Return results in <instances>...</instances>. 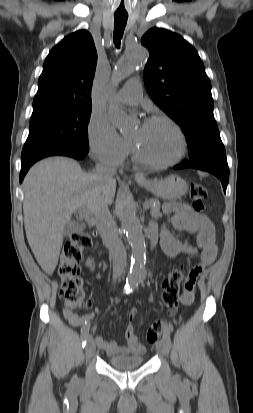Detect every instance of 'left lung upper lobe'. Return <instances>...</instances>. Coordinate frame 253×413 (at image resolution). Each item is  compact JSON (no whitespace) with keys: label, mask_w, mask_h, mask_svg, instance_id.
Listing matches in <instances>:
<instances>
[{"label":"left lung upper lobe","mask_w":253,"mask_h":413,"mask_svg":"<svg viewBox=\"0 0 253 413\" xmlns=\"http://www.w3.org/2000/svg\"><path fill=\"white\" fill-rule=\"evenodd\" d=\"M141 43L150 53L143 72L147 92L182 128L189 161L226 156L213 115L211 83L195 48L162 28L149 30Z\"/></svg>","instance_id":"1"}]
</instances>
